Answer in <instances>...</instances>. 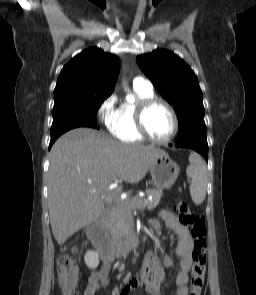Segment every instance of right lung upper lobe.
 <instances>
[{
    "label": "right lung upper lobe",
    "mask_w": 256,
    "mask_h": 295,
    "mask_svg": "<svg viewBox=\"0 0 256 295\" xmlns=\"http://www.w3.org/2000/svg\"><path fill=\"white\" fill-rule=\"evenodd\" d=\"M120 71L116 55L91 47L76 55L62 69L54 90L55 103L107 98Z\"/></svg>",
    "instance_id": "1"
}]
</instances>
